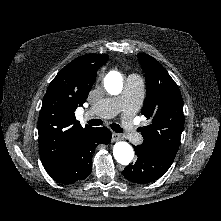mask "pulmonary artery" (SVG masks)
Listing matches in <instances>:
<instances>
[{"label":"pulmonary artery","instance_id":"obj_1","mask_svg":"<svg viewBox=\"0 0 221 221\" xmlns=\"http://www.w3.org/2000/svg\"><path fill=\"white\" fill-rule=\"evenodd\" d=\"M144 94V83L140 76L130 74L125 81L124 89L120 96L105 99L90 109L86 117L99 116L110 118L118 112H123L122 126L128 138L133 143H139V134L135 129L132 115L140 105Z\"/></svg>","mask_w":221,"mask_h":221}]
</instances>
